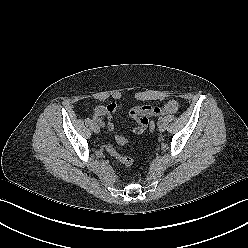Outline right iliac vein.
Returning <instances> with one entry per match:
<instances>
[{
    "label": "right iliac vein",
    "mask_w": 248,
    "mask_h": 248,
    "mask_svg": "<svg viewBox=\"0 0 248 248\" xmlns=\"http://www.w3.org/2000/svg\"><path fill=\"white\" fill-rule=\"evenodd\" d=\"M93 131H94L95 133H99V132H100V127H99L98 124H95V125L93 126Z\"/></svg>",
    "instance_id": "obj_1"
}]
</instances>
